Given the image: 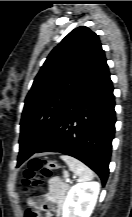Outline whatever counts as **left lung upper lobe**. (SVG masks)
Listing matches in <instances>:
<instances>
[{
  "label": "left lung upper lobe",
  "mask_w": 132,
  "mask_h": 217,
  "mask_svg": "<svg viewBox=\"0 0 132 217\" xmlns=\"http://www.w3.org/2000/svg\"><path fill=\"white\" fill-rule=\"evenodd\" d=\"M105 61L98 35L85 26L51 51L25 99L20 139L28 153L47 138Z\"/></svg>",
  "instance_id": "5c2ea615"
}]
</instances>
